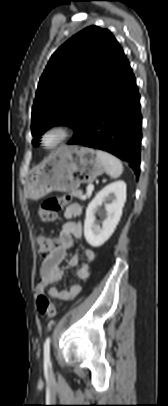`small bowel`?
<instances>
[{"label":"small bowel","instance_id":"1","mask_svg":"<svg viewBox=\"0 0 168 406\" xmlns=\"http://www.w3.org/2000/svg\"><path fill=\"white\" fill-rule=\"evenodd\" d=\"M82 215V208L78 204H72L65 209L64 216L67 219L60 230L58 236V246L53 252L44 258L40 268V279L36 283L35 291L37 294L45 292L47 287L51 284L57 283L62 275V264L65 261L68 250L72 247L75 240L82 237V224L80 220H73L74 217L80 218ZM85 262L79 266L76 271V276L79 280H86L91 274L89 263L93 262L96 258V253L92 249L84 251ZM80 263L79 254H74L69 259V265L72 267L78 266ZM81 291V284L78 281L72 282L69 286L59 289L57 287H50L48 295L53 300L68 301L74 299Z\"/></svg>","mask_w":168,"mask_h":406}]
</instances>
